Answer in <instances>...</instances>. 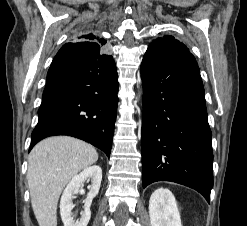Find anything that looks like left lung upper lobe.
Masks as SVG:
<instances>
[{"mask_svg": "<svg viewBox=\"0 0 247 226\" xmlns=\"http://www.w3.org/2000/svg\"><path fill=\"white\" fill-rule=\"evenodd\" d=\"M148 48H164L169 50L188 51V48L182 42L169 35L156 39L149 45Z\"/></svg>", "mask_w": 247, "mask_h": 226, "instance_id": "left-lung-upper-lobe-1", "label": "left lung upper lobe"}]
</instances>
